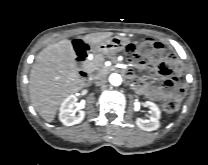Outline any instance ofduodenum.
<instances>
[{"instance_id": "410a0bca", "label": "duodenum", "mask_w": 208, "mask_h": 165, "mask_svg": "<svg viewBox=\"0 0 208 165\" xmlns=\"http://www.w3.org/2000/svg\"><path fill=\"white\" fill-rule=\"evenodd\" d=\"M89 62V47L85 46L82 49V52L79 53L77 57V70L79 77L82 78L83 80H86L89 77L87 65ZM120 71L127 77V78H132V73L131 71L121 67Z\"/></svg>"}]
</instances>
